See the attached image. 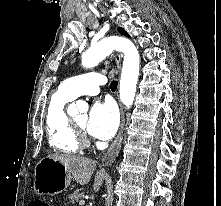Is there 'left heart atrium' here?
Wrapping results in <instances>:
<instances>
[{
	"label": "left heart atrium",
	"instance_id": "obj_1",
	"mask_svg": "<svg viewBox=\"0 0 221 206\" xmlns=\"http://www.w3.org/2000/svg\"><path fill=\"white\" fill-rule=\"evenodd\" d=\"M119 125V114L111 102L96 103L89 112L86 129L95 138H111Z\"/></svg>",
	"mask_w": 221,
	"mask_h": 206
}]
</instances>
